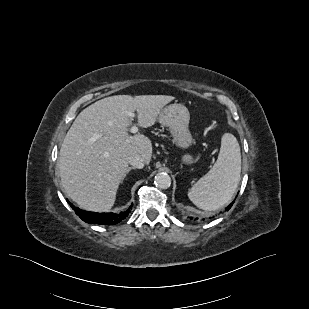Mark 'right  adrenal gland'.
Returning a JSON list of instances; mask_svg holds the SVG:
<instances>
[{
  "label": "right adrenal gland",
  "instance_id": "2a0ac1e0",
  "mask_svg": "<svg viewBox=\"0 0 309 309\" xmlns=\"http://www.w3.org/2000/svg\"><path fill=\"white\" fill-rule=\"evenodd\" d=\"M133 169H135V168H134V167H129L128 170H127V172H126V174H128V173H129L131 170H133ZM126 174L124 175V177H123V179H122V182H123V180H124Z\"/></svg>",
  "mask_w": 309,
  "mask_h": 309
}]
</instances>
